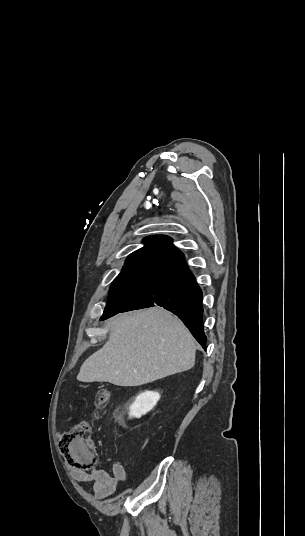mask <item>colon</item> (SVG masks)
Listing matches in <instances>:
<instances>
[{"label": "colon", "mask_w": 305, "mask_h": 536, "mask_svg": "<svg viewBox=\"0 0 305 536\" xmlns=\"http://www.w3.org/2000/svg\"><path fill=\"white\" fill-rule=\"evenodd\" d=\"M109 397L110 393L107 389H100L95 400L96 408L102 409L105 407ZM90 430V422L81 420L73 425L67 435H61L60 437L61 452L66 454V460L70 462L71 471H92L93 469L103 468L102 462H94L97 459V454L93 440L88 435Z\"/></svg>", "instance_id": "colon-1"}]
</instances>
